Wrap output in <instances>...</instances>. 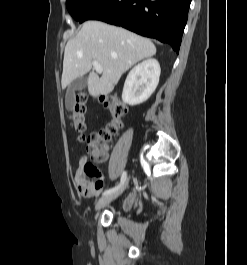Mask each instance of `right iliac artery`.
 <instances>
[{
    "label": "right iliac artery",
    "instance_id": "1",
    "mask_svg": "<svg viewBox=\"0 0 247 265\" xmlns=\"http://www.w3.org/2000/svg\"><path fill=\"white\" fill-rule=\"evenodd\" d=\"M126 178H127V174L125 171H123L122 175H121V180H120V183L118 185H116L115 187L111 188V189H108L106 190L103 195H107V194H110L116 190H118L123 184L124 182L126 181Z\"/></svg>",
    "mask_w": 247,
    "mask_h": 265
}]
</instances>
